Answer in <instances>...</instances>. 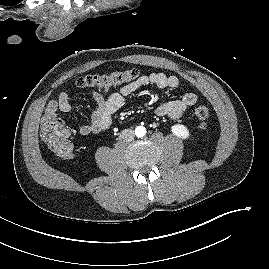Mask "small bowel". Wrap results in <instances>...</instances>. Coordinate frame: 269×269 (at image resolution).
Wrapping results in <instances>:
<instances>
[{
  "label": "small bowel",
  "instance_id": "c3829d8e",
  "mask_svg": "<svg viewBox=\"0 0 269 269\" xmlns=\"http://www.w3.org/2000/svg\"><path fill=\"white\" fill-rule=\"evenodd\" d=\"M152 84L160 89H175L179 86V79L174 75L165 73H149L139 76L135 81L123 85L118 91L109 93L104 91H91L96 103L88 124L79 127L78 132L83 135H91L106 131L113 114H115L125 103V100L132 93L141 87ZM198 100L194 92H186L180 99L164 101L156 108V114L170 120L180 119ZM72 108L69 91H62L56 99L51 100L46 107V116L57 117V112H69ZM66 134L68 131L66 130Z\"/></svg>",
  "mask_w": 269,
  "mask_h": 269
}]
</instances>
